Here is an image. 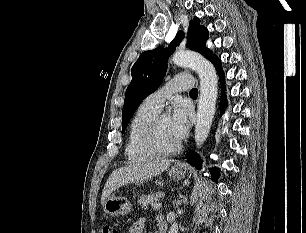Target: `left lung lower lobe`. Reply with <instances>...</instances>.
Instances as JSON below:
<instances>
[{
  "label": "left lung lower lobe",
  "instance_id": "obj_1",
  "mask_svg": "<svg viewBox=\"0 0 306 233\" xmlns=\"http://www.w3.org/2000/svg\"><path fill=\"white\" fill-rule=\"evenodd\" d=\"M213 65L215 66L220 78H221V85H222V90L224 91V73H223V69L221 66V61L219 60L218 57H215L212 61ZM226 105V100H225V94L223 92L222 96H221V100H220V110H221V114L223 112V109ZM187 160L188 162L196 167L197 169L201 168V160L200 157L198 156V154L191 152L189 154V156H187ZM210 172L212 173V179L213 180H217L219 177V170L217 168H212L210 169Z\"/></svg>",
  "mask_w": 306,
  "mask_h": 233
}]
</instances>
